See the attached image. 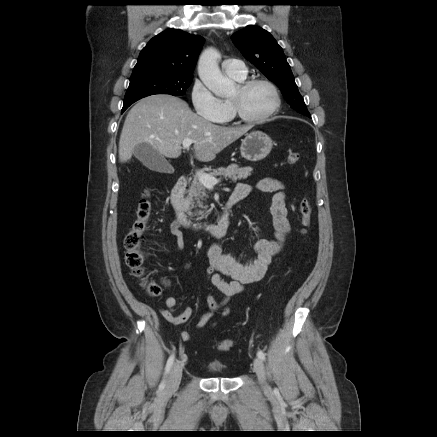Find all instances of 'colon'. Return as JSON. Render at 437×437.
Instances as JSON below:
<instances>
[{
  "mask_svg": "<svg viewBox=\"0 0 437 437\" xmlns=\"http://www.w3.org/2000/svg\"><path fill=\"white\" fill-rule=\"evenodd\" d=\"M300 153L294 149L287 152V162L291 165L298 163ZM299 211L302 224V235L307 234L311 223L312 207L308 199L301 200ZM152 215V202L148 192H144L138 203L136 218L132 223L131 229L124 237V247L126 249L125 261L134 277L141 280L142 286L151 296L160 293V286L152 280L145 277L144 263L147 258L145 251V234L149 229V221ZM233 345L232 340L224 339L218 344L221 351H228Z\"/></svg>",
  "mask_w": 437,
  "mask_h": 437,
  "instance_id": "5ec220e1",
  "label": "colon"
}]
</instances>
